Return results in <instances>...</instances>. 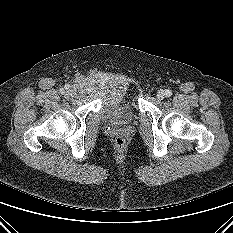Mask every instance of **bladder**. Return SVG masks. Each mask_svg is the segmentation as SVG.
<instances>
[{
  "mask_svg": "<svg viewBox=\"0 0 233 233\" xmlns=\"http://www.w3.org/2000/svg\"><path fill=\"white\" fill-rule=\"evenodd\" d=\"M88 86L97 87L101 92L99 113L104 120L115 125H126L135 119L137 104L126 82L117 79H86L84 87Z\"/></svg>",
  "mask_w": 233,
  "mask_h": 233,
  "instance_id": "1",
  "label": "bladder"
}]
</instances>
